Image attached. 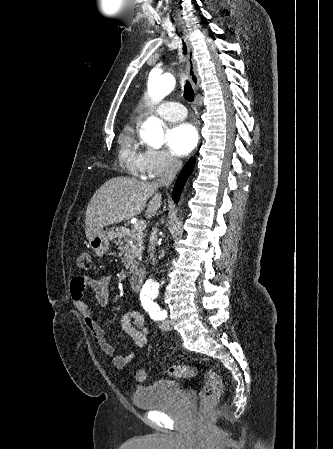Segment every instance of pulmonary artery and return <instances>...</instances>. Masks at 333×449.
<instances>
[{"mask_svg": "<svg viewBox=\"0 0 333 449\" xmlns=\"http://www.w3.org/2000/svg\"><path fill=\"white\" fill-rule=\"evenodd\" d=\"M153 112L168 121L181 120L186 117L185 107L178 102L165 101L153 108Z\"/></svg>", "mask_w": 333, "mask_h": 449, "instance_id": "e3ab8cb5", "label": "pulmonary artery"}]
</instances>
